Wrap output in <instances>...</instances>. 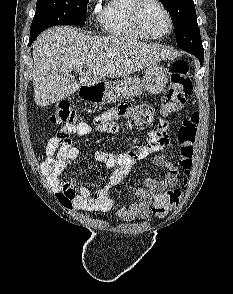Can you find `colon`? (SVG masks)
<instances>
[{
  "mask_svg": "<svg viewBox=\"0 0 233 294\" xmlns=\"http://www.w3.org/2000/svg\"><path fill=\"white\" fill-rule=\"evenodd\" d=\"M192 87L193 83L188 62L184 59L174 61L166 97L162 105V114L171 115L180 112L192 92ZM51 122L55 125H73L77 123V114L70 103L60 102L51 115ZM199 122V113L195 111L183 120L178 130V141L180 143L179 167L185 176L184 183L187 182L186 177L190 174L193 165ZM66 191L71 195L73 194L74 189L70 183L66 184ZM183 193V189L178 187L157 194L153 202V214L159 217L166 215L172 207L179 204Z\"/></svg>",
  "mask_w": 233,
  "mask_h": 294,
  "instance_id": "1",
  "label": "colon"
}]
</instances>
